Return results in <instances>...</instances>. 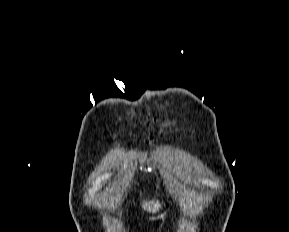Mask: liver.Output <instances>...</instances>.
Segmentation results:
<instances>
[{
	"label": "liver",
	"instance_id": "1",
	"mask_svg": "<svg viewBox=\"0 0 289 232\" xmlns=\"http://www.w3.org/2000/svg\"><path fill=\"white\" fill-rule=\"evenodd\" d=\"M142 207L147 211L157 212V211H159L161 205L158 201L157 202L146 201V202H143Z\"/></svg>",
	"mask_w": 289,
	"mask_h": 232
}]
</instances>
